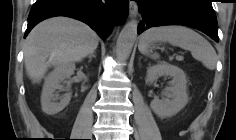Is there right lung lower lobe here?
<instances>
[{"label": "right lung lower lobe", "instance_id": "right-lung-lower-lobe-1", "mask_svg": "<svg viewBox=\"0 0 236 140\" xmlns=\"http://www.w3.org/2000/svg\"><path fill=\"white\" fill-rule=\"evenodd\" d=\"M128 6L129 0H37L30 11L24 37L44 19L67 16L85 22L106 39L114 25L126 20Z\"/></svg>", "mask_w": 236, "mask_h": 140}]
</instances>
